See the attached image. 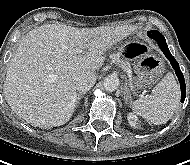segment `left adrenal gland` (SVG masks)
I'll use <instances>...</instances> for the list:
<instances>
[{
    "instance_id": "1",
    "label": "left adrenal gland",
    "mask_w": 190,
    "mask_h": 165,
    "mask_svg": "<svg viewBox=\"0 0 190 165\" xmlns=\"http://www.w3.org/2000/svg\"><path fill=\"white\" fill-rule=\"evenodd\" d=\"M123 94H124L125 103L130 102L132 98H131V95H130V92H129L127 85L124 86Z\"/></svg>"
}]
</instances>
